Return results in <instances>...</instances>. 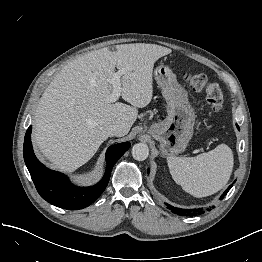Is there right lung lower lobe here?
Segmentation results:
<instances>
[{
    "label": "right lung lower lobe",
    "instance_id": "obj_1",
    "mask_svg": "<svg viewBox=\"0 0 262 262\" xmlns=\"http://www.w3.org/2000/svg\"><path fill=\"white\" fill-rule=\"evenodd\" d=\"M31 129L30 126L25 135L23 155L36 189L49 203L68 210L85 208L103 193L114 164L131 146L128 142L110 146L106 152L107 167L101 181L90 187H76L65 175L49 170L35 157L30 139Z\"/></svg>",
    "mask_w": 262,
    "mask_h": 262
}]
</instances>
